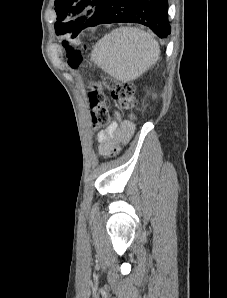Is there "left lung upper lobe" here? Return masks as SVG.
I'll list each match as a JSON object with an SVG mask.
<instances>
[{"label": "left lung upper lobe", "mask_w": 227, "mask_h": 298, "mask_svg": "<svg viewBox=\"0 0 227 298\" xmlns=\"http://www.w3.org/2000/svg\"><path fill=\"white\" fill-rule=\"evenodd\" d=\"M106 3L107 0H55V11L57 13L56 34L72 33V38H74L82 29L96 26ZM87 5H96V11L89 19L81 18L67 21L70 16L79 13Z\"/></svg>", "instance_id": "obj_1"}]
</instances>
